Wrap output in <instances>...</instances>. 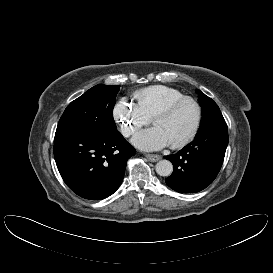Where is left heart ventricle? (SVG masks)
Instances as JSON below:
<instances>
[{
  "label": "left heart ventricle",
  "mask_w": 273,
  "mask_h": 273,
  "mask_svg": "<svg viewBox=\"0 0 273 273\" xmlns=\"http://www.w3.org/2000/svg\"><path fill=\"white\" fill-rule=\"evenodd\" d=\"M196 108L191 102L178 105L166 118L158 119L154 126L161 131L169 144L183 141L193 130Z\"/></svg>",
  "instance_id": "left-heart-ventricle-1"
}]
</instances>
